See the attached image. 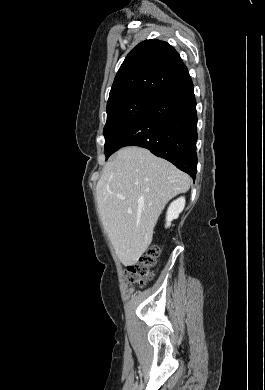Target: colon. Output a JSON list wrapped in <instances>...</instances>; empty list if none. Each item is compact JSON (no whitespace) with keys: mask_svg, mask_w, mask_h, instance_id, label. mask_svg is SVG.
Listing matches in <instances>:
<instances>
[{"mask_svg":"<svg viewBox=\"0 0 265 390\" xmlns=\"http://www.w3.org/2000/svg\"><path fill=\"white\" fill-rule=\"evenodd\" d=\"M159 253V248L153 245L135 263L128 266L126 275L133 285H144L153 278Z\"/></svg>","mask_w":265,"mask_h":390,"instance_id":"1","label":"colon"}]
</instances>
